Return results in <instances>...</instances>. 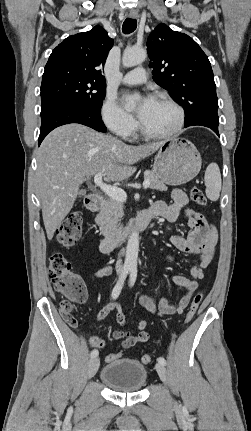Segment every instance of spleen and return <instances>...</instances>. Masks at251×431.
<instances>
[{
  "mask_svg": "<svg viewBox=\"0 0 251 431\" xmlns=\"http://www.w3.org/2000/svg\"><path fill=\"white\" fill-rule=\"evenodd\" d=\"M204 182L206 196L212 201L218 200L221 191V173L216 163L208 165L205 171Z\"/></svg>",
  "mask_w": 251,
  "mask_h": 431,
  "instance_id": "obj_1",
  "label": "spleen"
}]
</instances>
